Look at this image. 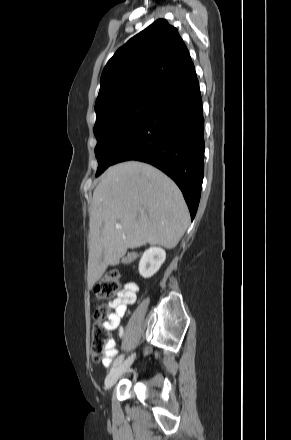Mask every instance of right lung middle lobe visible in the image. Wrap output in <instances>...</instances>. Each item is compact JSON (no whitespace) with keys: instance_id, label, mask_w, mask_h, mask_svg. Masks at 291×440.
<instances>
[{"instance_id":"dd1d6c3e","label":"right lung middle lobe","mask_w":291,"mask_h":440,"mask_svg":"<svg viewBox=\"0 0 291 440\" xmlns=\"http://www.w3.org/2000/svg\"><path fill=\"white\" fill-rule=\"evenodd\" d=\"M155 97L139 96L111 102L95 108L94 135L97 139L95 155L98 160L96 177L102 174L125 143L138 128Z\"/></svg>"}]
</instances>
